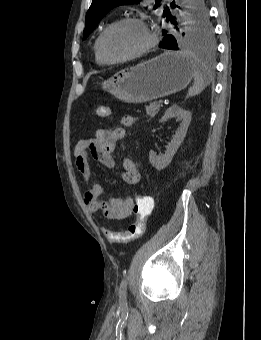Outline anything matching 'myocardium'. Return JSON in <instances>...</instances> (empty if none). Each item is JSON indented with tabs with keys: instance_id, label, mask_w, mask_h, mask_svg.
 I'll return each mask as SVG.
<instances>
[{
	"instance_id": "1",
	"label": "myocardium",
	"mask_w": 261,
	"mask_h": 340,
	"mask_svg": "<svg viewBox=\"0 0 261 340\" xmlns=\"http://www.w3.org/2000/svg\"><path fill=\"white\" fill-rule=\"evenodd\" d=\"M125 23H135V24H138L141 27H143L144 30L146 31L147 35H148V42L143 48H141L140 50H138L135 53H132V54L126 55V56H122V57H112V56L108 55L106 53V51L104 50V39L112 29H114L115 27H117L119 25L125 24ZM156 43H157L156 34L151 30L149 25L144 20H142L138 17H135V16H126V17H122L120 19L113 21L112 23H110L108 26H106L104 28V30L99 35L98 42H97V48H98L100 55L106 61H108L110 63H120V62H126V61L136 59V58L148 53L156 45Z\"/></svg>"
}]
</instances>
